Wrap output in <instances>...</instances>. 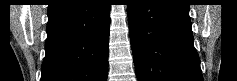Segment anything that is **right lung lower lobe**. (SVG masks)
I'll return each mask as SVG.
<instances>
[{
	"label": "right lung lower lobe",
	"instance_id": "obj_1",
	"mask_svg": "<svg viewBox=\"0 0 237 81\" xmlns=\"http://www.w3.org/2000/svg\"><path fill=\"white\" fill-rule=\"evenodd\" d=\"M110 21L106 0L49 7L41 81H106Z\"/></svg>",
	"mask_w": 237,
	"mask_h": 81
}]
</instances>
